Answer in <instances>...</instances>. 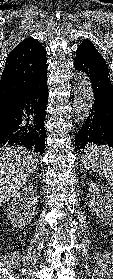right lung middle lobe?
Wrapping results in <instances>:
<instances>
[{
	"label": "right lung middle lobe",
	"instance_id": "1",
	"mask_svg": "<svg viewBox=\"0 0 113 279\" xmlns=\"http://www.w3.org/2000/svg\"><path fill=\"white\" fill-rule=\"evenodd\" d=\"M3 113H4V111L0 112V118H1V116L3 115Z\"/></svg>",
	"mask_w": 113,
	"mask_h": 279
}]
</instances>
